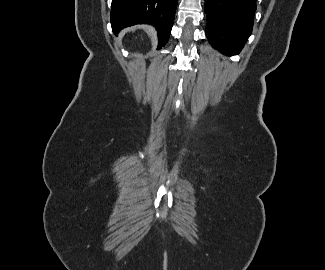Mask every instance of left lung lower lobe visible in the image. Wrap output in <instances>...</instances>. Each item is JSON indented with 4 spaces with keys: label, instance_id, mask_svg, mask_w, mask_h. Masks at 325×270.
<instances>
[{
    "label": "left lung lower lobe",
    "instance_id": "0a47b994",
    "mask_svg": "<svg viewBox=\"0 0 325 270\" xmlns=\"http://www.w3.org/2000/svg\"><path fill=\"white\" fill-rule=\"evenodd\" d=\"M256 0H205L206 35L225 55H237L253 27Z\"/></svg>",
    "mask_w": 325,
    "mask_h": 270
}]
</instances>
